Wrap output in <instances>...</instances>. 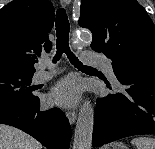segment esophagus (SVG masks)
Returning a JSON list of instances; mask_svg holds the SVG:
<instances>
[{"instance_id":"esophagus-1","label":"esophagus","mask_w":155,"mask_h":149,"mask_svg":"<svg viewBox=\"0 0 155 149\" xmlns=\"http://www.w3.org/2000/svg\"><path fill=\"white\" fill-rule=\"evenodd\" d=\"M70 0H60V3L63 7H66V6H69L70 4ZM66 116L70 122V124H74L75 121H76V117H77V114H76V111L75 110H69L66 112Z\"/></svg>"}]
</instances>
